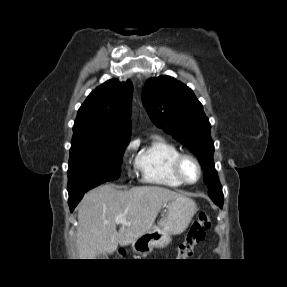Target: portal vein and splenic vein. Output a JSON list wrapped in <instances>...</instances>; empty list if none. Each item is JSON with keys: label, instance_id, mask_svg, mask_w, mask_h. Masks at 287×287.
I'll use <instances>...</instances> for the list:
<instances>
[{"label": "portal vein and splenic vein", "instance_id": "18ae733b", "mask_svg": "<svg viewBox=\"0 0 287 287\" xmlns=\"http://www.w3.org/2000/svg\"><path fill=\"white\" fill-rule=\"evenodd\" d=\"M116 223H126V220L123 218V215H119L115 218Z\"/></svg>", "mask_w": 287, "mask_h": 287}]
</instances>
